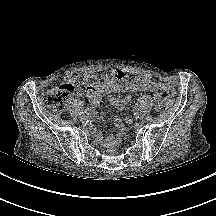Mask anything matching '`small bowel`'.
I'll return each mask as SVG.
<instances>
[{"label": "small bowel", "instance_id": "small-bowel-1", "mask_svg": "<svg viewBox=\"0 0 216 216\" xmlns=\"http://www.w3.org/2000/svg\"><path fill=\"white\" fill-rule=\"evenodd\" d=\"M88 86L85 90V96L92 106H98L102 97L107 95L109 102L118 110H123L130 100V94L138 91H151L155 93V105L158 109L162 107V97L158 91L160 85L156 83L151 75L141 74L136 78L130 79L128 74L121 70H113L106 74L100 81L96 80L93 75L86 77ZM124 92L128 95L125 97L115 96L110 93ZM117 132L104 138L107 143H117L124 132V126L120 120L116 121Z\"/></svg>", "mask_w": 216, "mask_h": 216}]
</instances>
